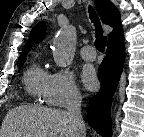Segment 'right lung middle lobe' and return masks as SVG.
<instances>
[{
  "label": "right lung middle lobe",
  "instance_id": "dd1d6c3e",
  "mask_svg": "<svg viewBox=\"0 0 144 137\" xmlns=\"http://www.w3.org/2000/svg\"><path fill=\"white\" fill-rule=\"evenodd\" d=\"M24 63V61H21L18 63L19 66H21Z\"/></svg>",
  "mask_w": 144,
  "mask_h": 137
}]
</instances>
